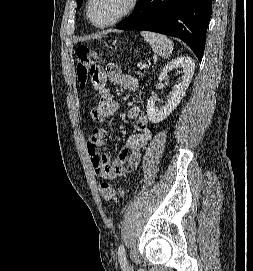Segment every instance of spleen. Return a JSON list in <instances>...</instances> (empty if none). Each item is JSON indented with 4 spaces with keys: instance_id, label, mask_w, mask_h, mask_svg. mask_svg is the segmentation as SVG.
Returning a JSON list of instances; mask_svg holds the SVG:
<instances>
[{
    "instance_id": "obj_1",
    "label": "spleen",
    "mask_w": 253,
    "mask_h": 271,
    "mask_svg": "<svg viewBox=\"0 0 253 271\" xmlns=\"http://www.w3.org/2000/svg\"><path fill=\"white\" fill-rule=\"evenodd\" d=\"M141 35L150 44L155 53L161 55L163 59L170 57L174 44L168 37L150 31H142Z\"/></svg>"
}]
</instances>
